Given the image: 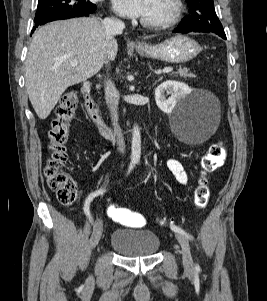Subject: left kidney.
<instances>
[{
  "label": "left kidney",
  "mask_w": 267,
  "mask_h": 301,
  "mask_svg": "<svg viewBox=\"0 0 267 301\" xmlns=\"http://www.w3.org/2000/svg\"><path fill=\"white\" fill-rule=\"evenodd\" d=\"M165 92L170 94L166 99ZM191 89L184 83L168 80L159 85L155 90V101L160 110L170 113L176 106L177 102L186 97Z\"/></svg>",
  "instance_id": "1"
}]
</instances>
